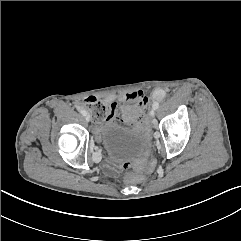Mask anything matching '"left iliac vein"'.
<instances>
[{"label":"left iliac vein","mask_w":241,"mask_h":241,"mask_svg":"<svg viewBox=\"0 0 241 241\" xmlns=\"http://www.w3.org/2000/svg\"><path fill=\"white\" fill-rule=\"evenodd\" d=\"M150 116H151V117H154V116H155V109H154V108L150 111Z\"/></svg>","instance_id":"left-iliac-vein-1"}]
</instances>
